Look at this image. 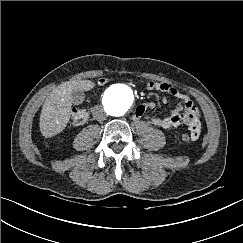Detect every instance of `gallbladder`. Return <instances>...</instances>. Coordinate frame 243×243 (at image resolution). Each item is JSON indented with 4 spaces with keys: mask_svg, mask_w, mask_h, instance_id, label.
Returning <instances> with one entry per match:
<instances>
[{
    "mask_svg": "<svg viewBox=\"0 0 243 243\" xmlns=\"http://www.w3.org/2000/svg\"><path fill=\"white\" fill-rule=\"evenodd\" d=\"M84 99V94L81 91H75L72 94V102L74 104H80Z\"/></svg>",
    "mask_w": 243,
    "mask_h": 243,
    "instance_id": "obj_1",
    "label": "gallbladder"
}]
</instances>
